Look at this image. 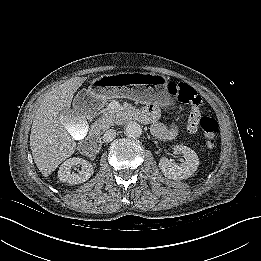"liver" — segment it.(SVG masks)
I'll return each instance as SVG.
<instances>
[{
    "instance_id": "obj_1",
    "label": "liver",
    "mask_w": 261,
    "mask_h": 261,
    "mask_svg": "<svg viewBox=\"0 0 261 261\" xmlns=\"http://www.w3.org/2000/svg\"><path fill=\"white\" fill-rule=\"evenodd\" d=\"M86 77H74L47 92L37 107L30 134L34 162L44 176H49L76 148L67 123L78 114L70 111L74 93ZM72 113V114H69Z\"/></svg>"
}]
</instances>
